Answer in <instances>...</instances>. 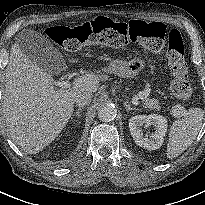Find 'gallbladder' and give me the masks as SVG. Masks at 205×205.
<instances>
[{
    "mask_svg": "<svg viewBox=\"0 0 205 205\" xmlns=\"http://www.w3.org/2000/svg\"><path fill=\"white\" fill-rule=\"evenodd\" d=\"M16 42L22 52L43 70L53 72L63 67L64 61L60 52L42 34L24 29L17 35Z\"/></svg>",
    "mask_w": 205,
    "mask_h": 205,
    "instance_id": "gallbladder-1",
    "label": "gallbladder"
}]
</instances>
